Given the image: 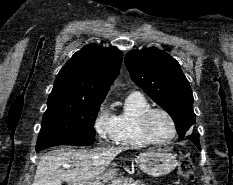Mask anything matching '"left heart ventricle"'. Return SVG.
<instances>
[{
	"label": "left heart ventricle",
	"mask_w": 233,
	"mask_h": 185,
	"mask_svg": "<svg viewBox=\"0 0 233 185\" xmlns=\"http://www.w3.org/2000/svg\"><path fill=\"white\" fill-rule=\"evenodd\" d=\"M152 135L158 140H166L172 134V126L169 119L162 113H155L150 120Z\"/></svg>",
	"instance_id": "left-heart-ventricle-1"
}]
</instances>
